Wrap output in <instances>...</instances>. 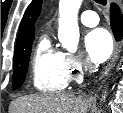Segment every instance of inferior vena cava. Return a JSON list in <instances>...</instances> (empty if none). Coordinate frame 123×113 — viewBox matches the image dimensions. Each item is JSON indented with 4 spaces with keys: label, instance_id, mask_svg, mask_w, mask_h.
Here are the masks:
<instances>
[{
    "label": "inferior vena cava",
    "instance_id": "obj_1",
    "mask_svg": "<svg viewBox=\"0 0 123 113\" xmlns=\"http://www.w3.org/2000/svg\"><path fill=\"white\" fill-rule=\"evenodd\" d=\"M88 70L91 73L93 71V67L91 65L88 66Z\"/></svg>",
    "mask_w": 123,
    "mask_h": 113
}]
</instances>
